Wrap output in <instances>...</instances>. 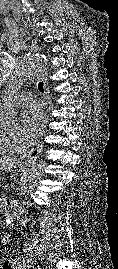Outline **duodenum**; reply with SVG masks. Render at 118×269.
<instances>
[{"instance_id":"1","label":"duodenum","mask_w":118,"mask_h":269,"mask_svg":"<svg viewBox=\"0 0 118 269\" xmlns=\"http://www.w3.org/2000/svg\"><path fill=\"white\" fill-rule=\"evenodd\" d=\"M17 220L20 224H24L27 220V216L23 211L17 213Z\"/></svg>"}]
</instances>
